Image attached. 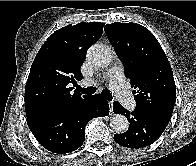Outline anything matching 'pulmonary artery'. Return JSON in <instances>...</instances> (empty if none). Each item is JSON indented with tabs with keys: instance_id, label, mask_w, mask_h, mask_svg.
<instances>
[{
	"instance_id": "pulmonary-artery-1",
	"label": "pulmonary artery",
	"mask_w": 196,
	"mask_h": 166,
	"mask_svg": "<svg viewBox=\"0 0 196 166\" xmlns=\"http://www.w3.org/2000/svg\"><path fill=\"white\" fill-rule=\"evenodd\" d=\"M110 82V89L114 93L117 100L126 108L132 109L135 102L131 94L128 92L123 69L120 66H114L107 74ZM93 82L91 80H84L82 86H90Z\"/></svg>"
}]
</instances>
